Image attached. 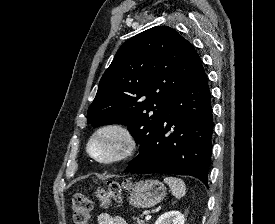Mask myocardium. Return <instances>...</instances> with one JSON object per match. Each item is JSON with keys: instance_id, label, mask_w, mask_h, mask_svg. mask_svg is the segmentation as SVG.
<instances>
[{"instance_id": "obj_1", "label": "myocardium", "mask_w": 275, "mask_h": 224, "mask_svg": "<svg viewBox=\"0 0 275 224\" xmlns=\"http://www.w3.org/2000/svg\"><path fill=\"white\" fill-rule=\"evenodd\" d=\"M105 133H115L121 140L122 145L119 152L110 158H99L91 149L92 143ZM137 143L132 131L124 124L110 122L97 127L89 136L86 143L88 155L97 163L103 165H112L121 163L132 156L136 149Z\"/></svg>"}]
</instances>
